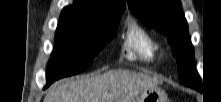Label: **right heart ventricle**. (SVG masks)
<instances>
[{
    "label": "right heart ventricle",
    "instance_id": "1",
    "mask_svg": "<svg viewBox=\"0 0 221 102\" xmlns=\"http://www.w3.org/2000/svg\"><path fill=\"white\" fill-rule=\"evenodd\" d=\"M158 51V42L143 27L136 22L128 25L124 39V52L128 59L151 61Z\"/></svg>",
    "mask_w": 221,
    "mask_h": 102
}]
</instances>
